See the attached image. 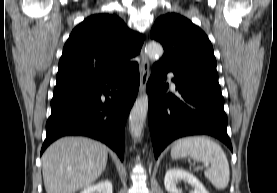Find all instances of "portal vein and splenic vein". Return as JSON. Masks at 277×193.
Here are the masks:
<instances>
[{"mask_svg":"<svg viewBox=\"0 0 277 193\" xmlns=\"http://www.w3.org/2000/svg\"><path fill=\"white\" fill-rule=\"evenodd\" d=\"M204 167H205V168H207V167H208V164H207V163H206V164H204Z\"/></svg>","mask_w":277,"mask_h":193,"instance_id":"1","label":"portal vein and splenic vein"}]
</instances>
